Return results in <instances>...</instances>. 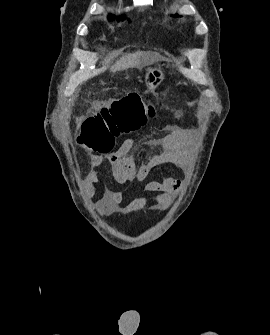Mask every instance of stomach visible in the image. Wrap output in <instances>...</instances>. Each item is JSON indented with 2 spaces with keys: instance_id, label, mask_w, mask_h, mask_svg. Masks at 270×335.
Here are the masks:
<instances>
[{
  "instance_id": "stomach-1",
  "label": "stomach",
  "mask_w": 270,
  "mask_h": 335,
  "mask_svg": "<svg viewBox=\"0 0 270 335\" xmlns=\"http://www.w3.org/2000/svg\"><path fill=\"white\" fill-rule=\"evenodd\" d=\"M162 80L163 72L161 68H147L144 80L146 92H150V94H152V92L160 86Z\"/></svg>"
}]
</instances>
